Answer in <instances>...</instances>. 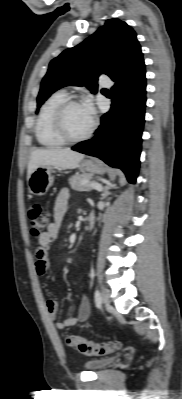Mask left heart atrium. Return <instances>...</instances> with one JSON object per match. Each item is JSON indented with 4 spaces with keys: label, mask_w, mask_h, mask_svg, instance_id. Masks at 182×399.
<instances>
[{
    "label": "left heart atrium",
    "mask_w": 182,
    "mask_h": 399,
    "mask_svg": "<svg viewBox=\"0 0 182 399\" xmlns=\"http://www.w3.org/2000/svg\"><path fill=\"white\" fill-rule=\"evenodd\" d=\"M88 114L93 118L94 115V108L90 102H86L83 104Z\"/></svg>",
    "instance_id": "left-heart-atrium-1"
}]
</instances>
